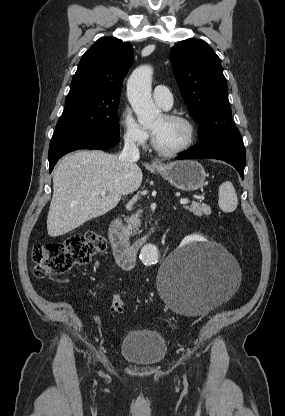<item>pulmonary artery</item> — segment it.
<instances>
[{
	"mask_svg": "<svg viewBox=\"0 0 285 416\" xmlns=\"http://www.w3.org/2000/svg\"><path fill=\"white\" fill-rule=\"evenodd\" d=\"M154 98L163 109H169L172 106L175 96L172 93L171 87L159 85L154 89Z\"/></svg>",
	"mask_w": 285,
	"mask_h": 416,
	"instance_id": "1",
	"label": "pulmonary artery"
}]
</instances>
